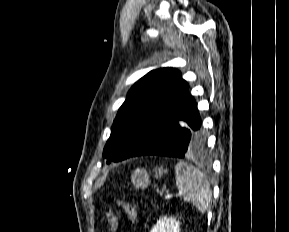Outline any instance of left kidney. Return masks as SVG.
<instances>
[{"mask_svg":"<svg viewBox=\"0 0 289 232\" xmlns=\"http://www.w3.org/2000/svg\"><path fill=\"white\" fill-rule=\"evenodd\" d=\"M150 232H180V222L174 217L159 219Z\"/></svg>","mask_w":289,"mask_h":232,"instance_id":"obj_1","label":"left kidney"}]
</instances>
